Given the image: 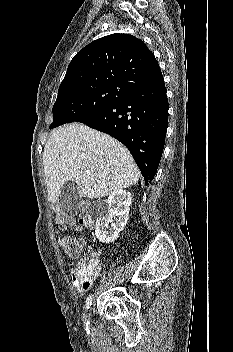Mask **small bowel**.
<instances>
[{"label":"small bowel","mask_w":233,"mask_h":352,"mask_svg":"<svg viewBox=\"0 0 233 352\" xmlns=\"http://www.w3.org/2000/svg\"><path fill=\"white\" fill-rule=\"evenodd\" d=\"M94 259L98 262V264L100 266L98 259L97 258H94ZM69 271L71 273L72 283H73L74 287L78 290L79 293H83V292L89 290L92 286L93 281L98 277L99 272H100L99 271L97 274H95L94 276H92L91 278H89L87 280H82V279H79L73 275V263H69Z\"/></svg>","instance_id":"c3829d8e"}]
</instances>
